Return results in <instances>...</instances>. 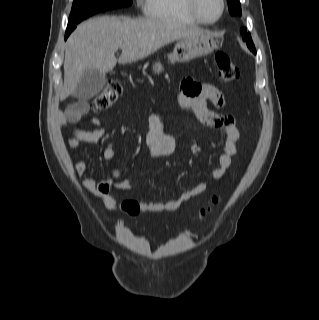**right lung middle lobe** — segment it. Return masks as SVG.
<instances>
[{
  "label": "right lung middle lobe",
  "mask_w": 319,
  "mask_h": 320,
  "mask_svg": "<svg viewBox=\"0 0 319 320\" xmlns=\"http://www.w3.org/2000/svg\"><path fill=\"white\" fill-rule=\"evenodd\" d=\"M131 4L132 0H74L67 30H73L80 21L98 12Z\"/></svg>",
  "instance_id": "1"
}]
</instances>
